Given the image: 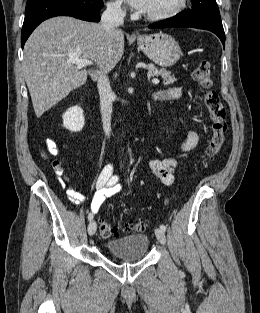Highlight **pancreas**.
<instances>
[{"instance_id": "obj_1", "label": "pancreas", "mask_w": 260, "mask_h": 313, "mask_svg": "<svg viewBox=\"0 0 260 313\" xmlns=\"http://www.w3.org/2000/svg\"><path fill=\"white\" fill-rule=\"evenodd\" d=\"M147 69H148V74L153 75V76H161L162 79L164 80L165 85L173 84L176 81V78L174 77V75H171L170 71H167L163 68H157L153 64H148Z\"/></svg>"}]
</instances>
